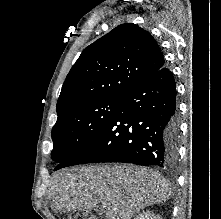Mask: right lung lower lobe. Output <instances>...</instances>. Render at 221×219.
Returning a JSON list of instances; mask_svg holds the SVG:
<instances>
[{
  "label": "right lung lower lobe",
  "instance_id": "right-lung-lower-lobe-1",
  "mask_svg": "<svg viewBox=\"0 0 221 219\" xmlns=\"http://www.w3.org/2000/svg\"><path fill=\"white\" fill-rule=\"evenodd\" d=\"M179 135L175 80L162 67L131 88L96 137L55 170L95 162L173 168Z\"/></svg>",
  "mask_w": 221,
  "mask_h": 219
}]
</instances>
